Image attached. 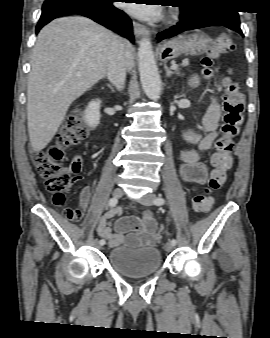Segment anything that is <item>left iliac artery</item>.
Here are the masks:
<instances>
[{"instance_id":"44dca946","label":"left iliac artery","mask_w":270,"mask_h":338,"mask_svg":"<svg viewBox=\"0 0 270 338\" xmlns=\"http://www.w3.org/2000/svg\"><path fill=\"white\" fill-rule=\"evenodd\" d=\"M164 203H165V200H164L162 197H158V198L154 199V204L157 205V206H161V205H163ZM170 243H171L172 245H176L177 241H176L175 239H172V240L170 241Z\"/></svg>"}]
</instances>
